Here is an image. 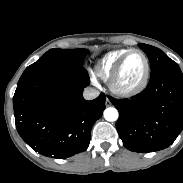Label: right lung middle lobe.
Instances as JSON below:
<instances>
[{"instance_id": "obj_1", "label": "right lung middle lobe", "mask_w": 183, "mask_h": 183, "mask_svg": "<svg viewBox=\"0 0 183 183\" xmlns=\"http://www.w3.org/2000/svg\"><path fill=\"white\" fill-rule=\"evenodd\" d=\"M89 53L87 49L53 48L43 54L38 61L28 66L23 74L43 72L61 67L82 65Z\"/></svg>"}]
</instances>
